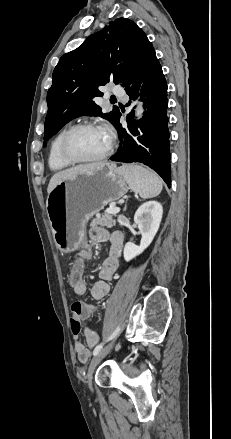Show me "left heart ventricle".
<instances>
[{"label":"left heart ventricle","instance_id":"b2bd125f","mask_svg":"<svg viewBox=\"0 0 231 439\" xmlns=\"http://www.w3.org/2000/svg\"><path fill=\"white\" fill-rule=\"evenodd\" d=\"M109 144V135L103 129H85L77 132L70 141V149L79 158H92L102 154Z\"/></svg>","mask_w":231,"mask_h":439}]
</instances>
